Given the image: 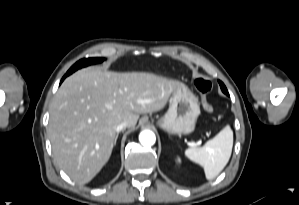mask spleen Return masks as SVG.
Here are the masks:
<instances>
[{
  "label": "spleen",
  "mask_w": 299,
  "mask_h": 205,
  "mask_svg": "<svg viewBox=\"0 0 299 205\" xmlns=\"http://www.w3.org/2000/svg\"><path fill=\"white\" fill-rule=\"evenodd\" d=\"M233 147V131L230 126L224 127L214 138L203 147L189 148L185 155L204 168L205 176L212 180L227 165Z\"/></svg>",
  "instance_id": "spleen-1"
}]
</instances>
